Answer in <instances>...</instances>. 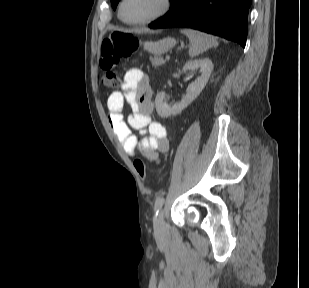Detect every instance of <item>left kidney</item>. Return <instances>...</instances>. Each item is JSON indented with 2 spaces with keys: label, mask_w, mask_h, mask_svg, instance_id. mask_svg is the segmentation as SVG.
<instances>
[{
  "label": "left kidney",
  "mask_w": 309,
  "mask_h": 288,
  "mask_svg": "<svg viewBox=\"0 0 309 288\" xmlns=\"http://www.w3.org/2000/svg\"><path fill=\"white\" fill-rule=\"evenodd\" d=\"M195 69H200L201 75L188 86L186 95L182 98L180 103L168 105L165 99V93H157L155 105L156 111L161 117H169L171 115L179 114L197 98L209 80L210 74L213 70V63L209 58L191 60L183 66L182 71L186 72Z\"/></svg>",
  "instance_id": "left-kidney-1"
}]
</instances>
